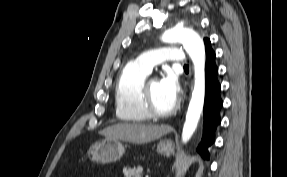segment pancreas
Instances as JSON below:
<instances>
[{
  "label": "pancreas",
  "mask_w": 287,
  "mask_h": 177,
  "mask_svg": "<svg viewBox=\"0 0 287 177\" xmlns=\"http://www.w3.org/2000/svg\"><path fill=\"white\" fill-rule=\"evenodd\" d=\"M123 174L125 177H142L143 169L142 167L137 168H123Z\"/></svg>",
  "instance_id": "obj_1"
}]
</instances>
